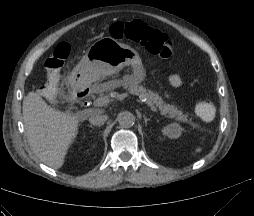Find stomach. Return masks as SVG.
I'll return each mask as SVG.
<instances>
[{
    "mask_svg": "<svg viewBox=\"0 0 254 216\" xmlns=\"http://www.w3.org/2000/svg\"><path fill=\"white\" fill-rule=\"evenodd\" d=\"M128 67L130 73L124 79L139 83L145 77L142 58L129 45L104 37L94 42L71 74L74 84L89 83L119 73Z\"/></svg>",
    "mask_w": 254,
    "mask_h": 216,
    "instance_id": "obj_1",
    "label": "stomach"
}]
</instances>
